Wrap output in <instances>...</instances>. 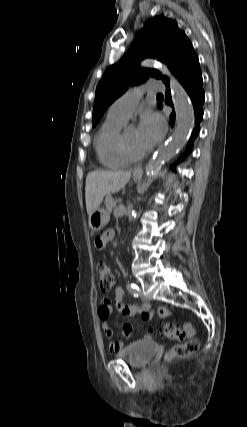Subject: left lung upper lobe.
<instances>
[{
	"instance_id": "obj_1",
	"label": "left lung upper lobe",
	"mask_w": 247,
	"mask_h": 427,
	"mask_svg": "<svg viewBox=\"0 0 247 427\" xmlns=\"http://www.w3.org/2000/svg\"><path fill=\"white\" fill-rule=\"evenodd\" d=\"M196 56L191 42L174 20L164 15L149 19L136 34L125 56L108 67L99 81L93 108V126L99 122L108 106L126 91L128 85L143 83L149 77L169 82L156 69L140 68L142 59L157 58L166 63L177 77Z\"/></svg>"
}]
</instances>
